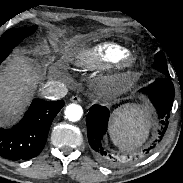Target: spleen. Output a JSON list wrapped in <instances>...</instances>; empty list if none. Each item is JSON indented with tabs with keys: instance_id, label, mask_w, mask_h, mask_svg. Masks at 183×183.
<instances>
[{
	"instance_id": "3e777b00",
	"label": "spleen",
	"mask_w": 183,
	"mask_h": 183,
	"mask_svg": "<svg viewBox=\"0 0 183 183\" xmlns=\"http://www.w3.org/2000/svg\"><path fill=\"white\" fill-rule=\"evenodd\" d=\"M150 111L146 105L126 104L112 114L109 133L120 149H133L148 138Z\"/></svg>"
}]
</instances>
